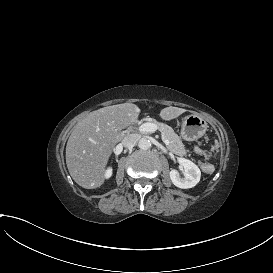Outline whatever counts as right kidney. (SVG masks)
I'll list each match as a JSON object with an SVG mask.
<instances>
[{
	"label": "right kidney",
	"instance_id": "1",
	"mask_svg": "<svg viewBox=\"0 0 273 273\" xmlns=\"http://www.w3.org/2000/svg\"><path fill=\"white\" fill-rule=\"evenodd\" d=\"M107 175L108 176H110L111 175V171L109 170V171H107Z\"/></svg>",
	"mask_w": 273,
	"mask_h": 273
}]
</instances>
